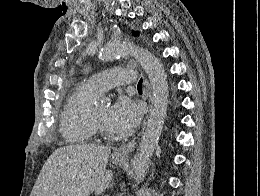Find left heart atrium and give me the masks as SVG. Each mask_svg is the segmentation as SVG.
I'll return each instance as SVG.
<instances>
[{"instance_id":"39dd6f15","label":"left heart atrium","mask_w":260,"mask_h":196,"mask_svg":"<svg viewBox=\"0 0 260 196\" xmlns=\"http://www.w3.org/2000/svg\"><path fill=\"white\" fill-rule=\"evenodd\" d=\"M139 122V106L127 97H120L110 108L108 125L112 131L120 135L129 134Z\"/></svg>"}]
</instances>
